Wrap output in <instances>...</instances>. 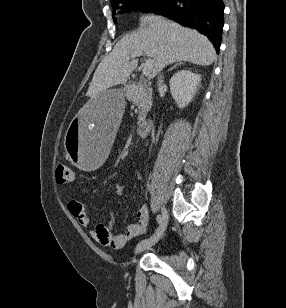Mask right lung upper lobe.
Here are the masks:
<instances>
[{
    "mask_svg": "<svg viewBox=\"0 0 286 308\" xmlns=\"http://www.w3.org/2000/svg\"><path fill=\"white\" fill-rule=\"evenodd\" d=\"M117 0H111L112 4L115 3Z\"/></svg>",
    "mask_w": 286,
    "mask_h": 308,
    "instance_id": "obj_1",
    "label": "right lung upper lobe"
}]
</instances>
